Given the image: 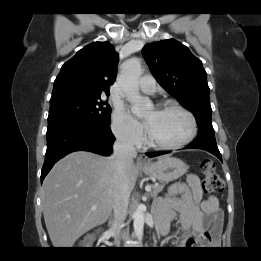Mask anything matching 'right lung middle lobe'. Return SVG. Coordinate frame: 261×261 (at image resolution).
<instances>
[{"label":"right lung middle lobe","mask_w":261,"mask_h":261,"mask_svg":"<svg viewBox=\"0 0 261 261\" xmlns=\"http://www.w3.org/2000/svg\"><path fill=\"white\" fill-rule=\"evenodd\" d=\"M111 108L99 95L75 92L52 94L48 125L66 121H85L110 125Z\"/></svg>","instance_id":"1"}]
</instances>
